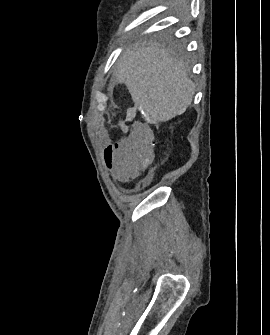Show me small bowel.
I'll list each match as a JSON object with an SVG mask.
<instances>
[{"instance_id": "obj_1", "label": "small bowel", "mask_w": 270, "mask_h": 335, "mask_svg": "<svg viewBox=\"0 0 270 335\" xmlns=\"http://www.w3.org/2000/svg\"><path fill=\"white\" fill-rule=\"evenodd\" d=\"M125 134H137L129 138L121 135V144H97L98 161H104V165H111L109 171H113L115 178H136L138 169H146L151 165V158L146 156H159V149H152L154 138L151 131L144 127V121H127Z\"/></svg>"}]
</instances>
